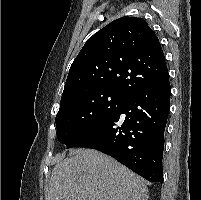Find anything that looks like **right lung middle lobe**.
<instances>
[{
	"label": "right lung middle lobe",
	"mask_w": 201,
	"mask_h": 200,
	"mask_svg": "<svg viewBox=\"0 0 201 200\" xmlns=\"http://www.w3.org/2000/svg\"><path fill=\"white\" fill-rule=\"evenodd\" d=\"M127 97L115 91H93L61 102L55 119L58 140L69 145L117 110Z\"/></svg>",
	"instance_id": "obj_1"
}]
</instances>
